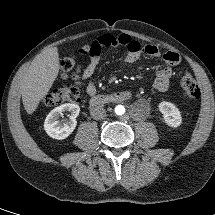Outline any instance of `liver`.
<instances>
[{"label": "liver", "mask_w": 215, "mask_h": 215, "mask_svg": "<svg viewBox=\"0 0 215 215\" xmlns=\"http://www.w3.org/2000/svg\"><path fill=\"white\" fill-rule=\"evenodd\" d=\"M59 54L57 47L45 48L21 75L19 88L23 106L32 114L40 101L48 94L59 73Z\"/></svg>", "instance_id": "1"}]
</instances>
